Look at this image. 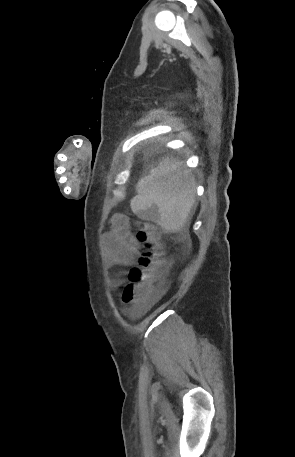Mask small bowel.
<instances>
[{
	"mask_svg": "<svg viewBox=\"0 0 295 457\" xmlns=\"http://www.w3.org/2000/svg\"><path fill=\"white\" fill-rule=\"evenodd\" d=\"M104 245L112 263L117 265L131 266L139 256V245L137 237L131 229L130 220L122 214H115L111 218L110 230L104 235ZM119 283L117 282L116 285ZM167 290V284L160 282L154 285L151 295L141 311H145Z\"/></svg>",
	"mask_w": 295,
	"mask_h": 457,
	"instance_id": "small-bowel-1",
	"label": "small bowel"
}]
</instances>
